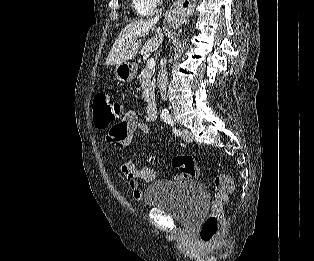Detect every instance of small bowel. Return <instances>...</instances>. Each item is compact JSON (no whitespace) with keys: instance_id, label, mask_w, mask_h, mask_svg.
<instances>
[{"instance_id":"c3829d8e","label":"small bowel","mask_w":314,"mask_h":261,"mask_svg":"<svg viewBox=\"0 0 314 261\" xmlns=\"http://www.w3.org/2000/svg\"><path fill=\"white\" fill-rule=\"evenodd\" d=\"M135 133H140L147 137L149 127L138 120L137 114L133 110H129L118 129L112 127L109 133L104 134V139L110 140L112 145L126 147ZM120 171L127 178L129 189L133 199L136 201L143 198V192L139 188V180L150 182L156 177L155 171L150 166L137 167L131 160L122 163Z\"/></svg>"}]
</instances>
